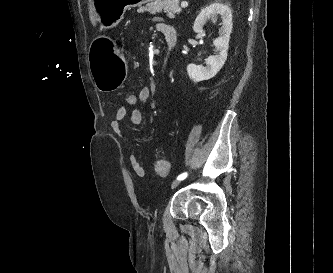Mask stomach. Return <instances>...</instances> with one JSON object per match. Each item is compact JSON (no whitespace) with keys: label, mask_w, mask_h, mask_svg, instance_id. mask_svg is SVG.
I'll return each instance as SVG.
<instances>
[{"label":"stomach","mask_w":333,"mask_h":273,"mask_svg":"<svg viewBox=\"0 0 333 273\" xmlns=\"http://www.w3.org/2000/svg\"><path fill=\"white\" fill-rule=\"evenodd\" d=\"M153 0H91L98 14V23L102 28H119L123 13L130 8L139 7ZM111 32L103 31L101 39L91 44V73L95 85L100 91H114L124 81L127 58L116 49Z\"/></svg>","instance_id":"1"}]
</instances>
